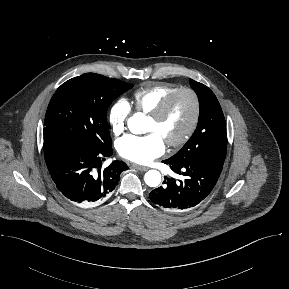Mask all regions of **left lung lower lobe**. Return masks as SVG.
Returning a JSON list of instances; mask_svg holds the SVG:
<instances>
[{"instance_id": "left-lung-lower-lobe-1", "label": "left lung lower lobe", "mask_w": 289, "mask_h": 289, "mask_svg": "<svg viewBox=\"0 0 289 289\" xmlns=\"http://www.w3.org/2000/svg\"><path fill=\"white\" fill-rule=\"evenodd\" d=\"M163 163L182 176V180L168 179L166 185L154 189L149 197L153 203L170 211L191 209L202 202L214 188L224 160L200 158L189 162Z\"/></svg>"}]
</instances>
